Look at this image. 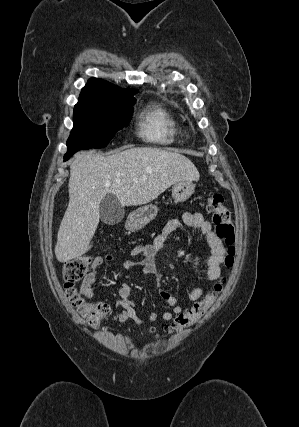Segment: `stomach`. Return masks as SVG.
<instances>
[{"mask_svg":"<svg viewBox=\"0 0 299 427\" xmlns=\"http://www.w3.org/2000/svg\"><path fill=\"white\" fill-rule=\"evenodd\" d=\"M195 184L188 181H180L173 185L172 198L174 202L182 203L190 198L194 193ZM158 208L155 205L142 206L129 214L127 225L130 229L137 230L154 220L157 216Z\"/></svg>","mask_w":299,"mask_h":427,"instance_id":"stomach-1","label":"stomach"}]
</instances>
